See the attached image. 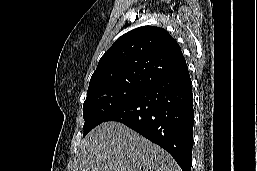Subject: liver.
Returning <instances> with one entry per match:
<instances>
[{
    "label": "liver",
    "instance_id": "liver-1",
    "mask_svg": "<svg viewBox=\"0 0 257 171\" xmlns=\"http://www.w3.org/2000/svg\"><path fill=\"white\" fill-rule=\"evenodd\" d=\"M75 171H181L158 145L119 122H104L83 140Z\"/></svg>",
    "mask_w": 257,
    "mask_h": 171
}]
</instances>
